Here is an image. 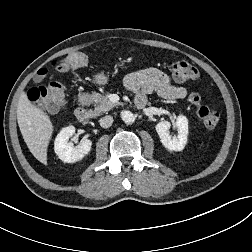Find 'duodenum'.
I'll return each instance as SVG.
<instances>
[{"label":"duodenum","mask_w":252,"mask_h":252,"mask_svg":"<svg viewBox=\"0 0 252 252\" xmlns=\"http://www.w3.org/2000/svg\"><path fill=\"white\" fill-rule=\"evenodd\" d=\"M90 101L89 95L82 93L79 97V102L82 104H88ZM145 103H141L143 107ZM92 116V112L85 107H79L75 110V117L79 122H87Z\"/></svg>","instance_id":"obj_1"}]
</instances>
